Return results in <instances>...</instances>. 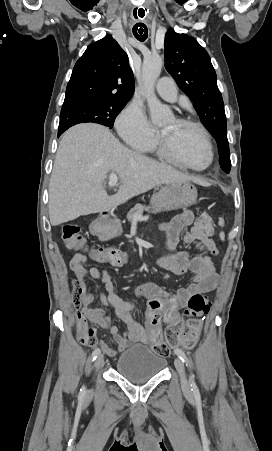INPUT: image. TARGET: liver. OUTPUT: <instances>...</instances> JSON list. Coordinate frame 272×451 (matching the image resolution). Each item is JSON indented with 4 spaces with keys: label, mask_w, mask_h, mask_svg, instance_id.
<instances>
[{
    "label": "liver",
    "mask_w": 272,
    "mask_h": 451,
    "mask_svg": "<svg viewBox=\"0 0 272 451\" xmlns=\"http://www.w3.org/2000/svg\"><path fill=\"white\" fill-rule=\"evenodd\" d=\"M109 172H116L120 178L121 186L114 196H108L103 188ZM170 182L203 184L196 176L128 150L105 126L78 124L65 132L56 152L49 184L51 226L108 212Z\"/></svg>",
    "instance_id": "liver-1"
}]
</instances>
